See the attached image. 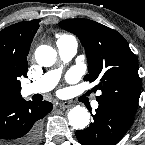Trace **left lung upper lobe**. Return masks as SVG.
Instances as JSON below:
<instances>
[{
	"instance_id": "left-lung-upper-lobe-1",
	"label": "left lung upper lobe",
	"mask_w": 145,
	"mask_h": 145,
	"mask_svg": "<svg viewBox=\"0 0 145 145\" xmlns=\"http://www.w3.org/2000/svg\"><path fill=\"white\" fill-rule=\"evenodd\" d=\"M60 26L75 34L85 48L88 74L84 80H99L100 105L116 107L134 115L140 97L138 62L127 41L117 31L88 19H68Z\"/></svg>"
}]
</instances>
